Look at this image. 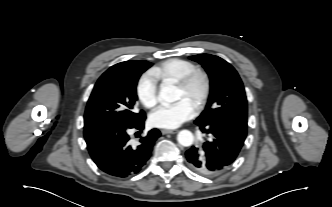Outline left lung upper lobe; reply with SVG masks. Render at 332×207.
Wrapping results in <instances>:
<instances>
[{"instance_id": "1", "label": "left lung upper lobe", "mask_w": 332, "mask_h": 207, "mask_svg": "<svg viewBox=\"0 0 332 207\" xmlns=\"http://www.w3.org/2000/svg\"><path fill=\"white\" fill-rule=\"evenodd\" d=\"M199 62L210 77V94L196 124H209L229 118L247 119V99L236 70L225 60L210 54L189 57Z\"/></svg>"}]
</instances>
